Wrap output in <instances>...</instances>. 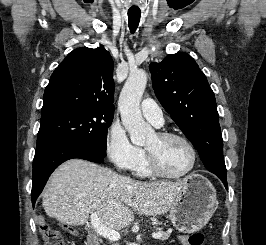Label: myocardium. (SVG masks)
Wrapping results in <instances>:
<instances>
[{
  "label": "myocardium",
  "instance_id": "1",
  "mask_svg": "<svg viewBox=\"0 0 266 245\" xmlns=\"http://www.w3.org/2000/svg\"><path fill=\"white\" fill-rule=\"evenodd\" d=\"M157 135L163 139L175 138V139H179V140L183 141L188 146V148L191 152V163H190L189 168L183 174L177 175V176L168 175V174L162 172L157 167L153 158L148 153V151L145 149L146 164H147V167H148L150 173L154 177L161 178V179H168V180H181V179H185L186 177H188L193 172V170L195 169L196 164H197V159H198L197 151H196L194 144L184 135L179 134V133H175V132L161 131V132H158Z\"/></svg>",
  "mask_w": 266,
  "mask_h": 245
}]
</instances>
